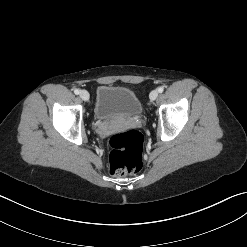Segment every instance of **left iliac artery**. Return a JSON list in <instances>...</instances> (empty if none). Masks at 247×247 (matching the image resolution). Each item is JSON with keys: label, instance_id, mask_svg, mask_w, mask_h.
Masks as SVG:
<instances>
[{"label": "left iliac artery", "instance_id": "obj_1", "mask_svg": "<svg viewBox=\"0 0 247 247\" xmlns=\"http://www.w3.org/2000/svg\"><path fill=\"white\" fill-rule=\"evenodd\" d=\"M157 90H158L159 93H162L164 91V87L160 86Z\"/></svg>", "mask_w": 247, "mask_h": 247}]
</instances>
